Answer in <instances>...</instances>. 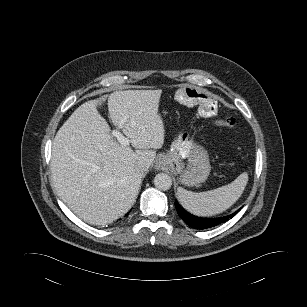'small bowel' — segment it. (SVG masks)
I'll return each instance as SVG.
<instances>
[{
    "mask_svg": "<svg viewBox=\"0 0 307 307\" xmlns=\"http://www.w3.org/2000/svg\"><path fill=\"white\" fill-rule=\"evenodd\" d=\"M177 98L186 105L197 104V115L200 117H212L217 112L216 102L195 89H182L178 92Z\"/></svg>",
    "mask_w": 307,
    "mask_h": 307,
    "instance_id": "c3829d8e",
    "label": "small bowel"
}]
</instances>
